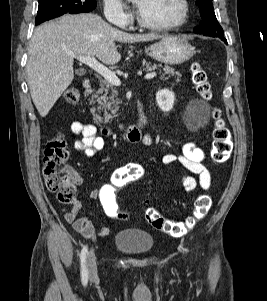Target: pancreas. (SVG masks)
Wrapping results in <instances>:
<instances>
[{
	"label": "pancreas",
	"mask_w": 267,
	"mask_h": 301,
	"mask_svg": "<svg viewBox=\"0 0 267 301\" xmlns=\"http://www.w3.org/2000/svg\"><path fill=\"white\" fill-rule=\"evenodd\" d=\"M157 68H162V65H156V64H152L151 62H148L146 64V70L150 71V70H155ZM164 70V74L165 75H169L170 76H174L177 77V79H179V77H181L180 73L178 71H175L173 68L169 67V66H165L163 67ZM161 79H165L167 80L168 77H162ZM118 96V91L117 89L114 87V85H112L111 83H109L108 81H103L100 84V88L98 89V91L95 92V94L92 95V101L95 100L96 103H98V107H97V111L100 112L101 110H109L112 115L115 116L117 110L119 109V99L117 98ZM96 108H93V112H95ZM94 117L96 122H104V123H108L109 120H111L113 118V116L105 113V119L102 120L101 117L97 114L94 113Z\"/></svg>",
	"instance_id": "obj_1"
}]
</instances>
